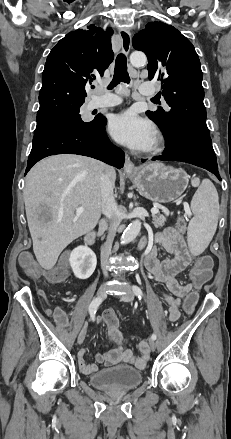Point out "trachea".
Listing matches in <instances>:
<instances>
[{
  "label": "trachea",
  "instance_id": "trachea-1",
  "mask_svg": "<svg viewBox=\"0 0 231 439\" xmlns=\"http://www.w3.org/2000/svg\"><path fill=\"white\" fill-rule=\"evenodd\" d=\"M120 82H124V83L130 82V77L127 72V59L126 56L122 53H120L116 58L113 80L108 86V89L114 88Z\"/></svg>",
  "mask_w": 231,
  "mask_h": 439
}]
</instances>
